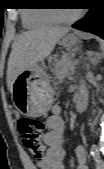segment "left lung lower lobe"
Returning <instances> with one entry per match:
<instances>
[{"label": "left lung lower lobe", "mask_w": 104, "mask_h": 169, "mask_svg": "<svg viewBox=\"0 0 104 169\" xmlns=\"http://www.w3.org/2000/svg\"><path fill=\"white\" fill-rule=\"evenodd\" d=\"M72 27L104 38V10L92 8L85 18L76 22Z\"/></svg>", "instance_id": "left-lung-lower-lobe-1"}]
</instances>
